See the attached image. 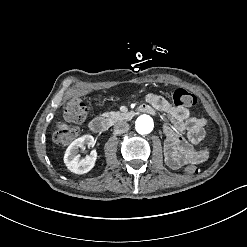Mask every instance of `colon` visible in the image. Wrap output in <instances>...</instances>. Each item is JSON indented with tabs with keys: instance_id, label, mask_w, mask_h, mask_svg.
I'll list each match as a JSON object with an SVG mask.
<instances>
[{
	"instance_id": "1",
	"label": "colon",
	"mask_w": 247,
	"mask_h": 247,
	"mask_svg": "<svg viewBox=\"0 0 247 247\" xmlns=\"http://www.w3.org/2000/svg\"><path fill=\"white\" fill-rule=\"evenodd\" d=\"M197 103V97L191 93H186L184 89H177L172 95L174 107H193ZM63 116L65 121L58 124L54 133V141L58 146H66L73 141L76 135L75 129L68 122L83 123L88 116V108L85 102L78 98H69L63 106ZM184 174H195L197 169L193 165L182 168Z\"/></svg>"
}]
</instances>
